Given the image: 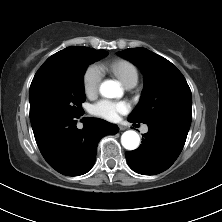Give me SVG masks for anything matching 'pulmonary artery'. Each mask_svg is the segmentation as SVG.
Returning a JSON list of instances; mask_svg holds the SVG:
<instances>
[{"instance_id": "obj_1", "label": "pulmonary artery", "mask_w": 222, "mask_h": 222, "mask_svg": "<svg viewBox=\"0 0 222 222\" xmlns=\"http://www.w3.org/2000/svg\"><path fill=\"white\" fill-rule=\"evenodd\" d=\"M126 88L130 89V88H132V87H126ZM147 131H148V128H147V127H143V128H142V132H143V133H146Z\"/></svg>"}]
</instances>
